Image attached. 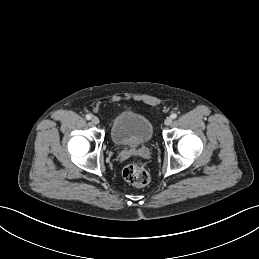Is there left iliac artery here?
<instances>
[{
  "instance_id": "44dca946",
  "label": "left iliac artery",
  "mask_w": 259,
  "mask_h": 259,
  "mask_svg": "<svg viewBox=\"0 0 259 259\" xmlns=\"http://www.w3.org/2000/svg\"><path fill=\"white\" fill-rule=\"evenodd\" d=\"M172 119H175V118H177V114L176 113H173V114H171V116H170Z\"/></svg>"
}]
</instances>
